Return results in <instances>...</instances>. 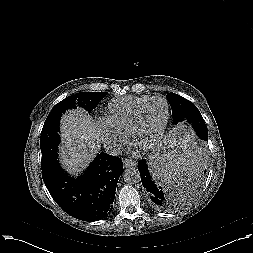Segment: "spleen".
Returning <instances> with one entry per match:
<instances>
[{
	"mask_svg": "<svg viewBox=\"0 0 253 253\" xmlns=\"http://www.w3.org/2000/svg\"><path fill=\"white\" fill-rule=\"evenodd\" d=\"M206 167V157L196 134L188 127L176 126L164 136L163 144L151 153L149 170L157 188L165 195L189 194Z\"/></svg>",
	"mask_w": 253,
	"mask_h": 253,
	"instance_id": "obj_1",
	"label": "spleen"
}]
</instances>
